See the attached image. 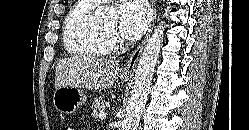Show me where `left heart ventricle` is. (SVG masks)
<instances>
[{
    "mask_svg": "<svg viewBox=\"0 0 249 130\" xmlns=\"http://www.w3.org/2000/svg\"><path fill=\"white\" fill-rule=\"evenodd\" d=\"M106 30H108V31H113L114 30V25H107V26H105L104 27Z\"/></svg>",
    "mask_w": 249,
    "mask_h": 130,
    "instance_id": "b2bd125f",
    "label": "left heart ventricle"
}]
</instances>
